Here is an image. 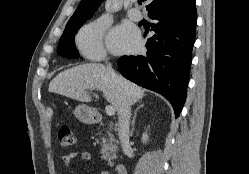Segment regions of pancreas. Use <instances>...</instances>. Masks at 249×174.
Returning <instances> with one entry per match:
<instances>
[{"label": "pancreas", "mask_w": 249, "mask_h": 174, "mask_svg": "<svg viewBox=\"0 0 249 174\" xmlns=\"http://www.w3.org/2000/svg\"><path fill=\"white\" fill-rule=\"evenodd\" d=\"M116 152L117 145L114 135L107 131L106 135L102 138V148L100 152L102 154V159L108 160L109 164H111L110 161L116 156Z\"/></svg>", "instance_id": "1"}]
</instances>
